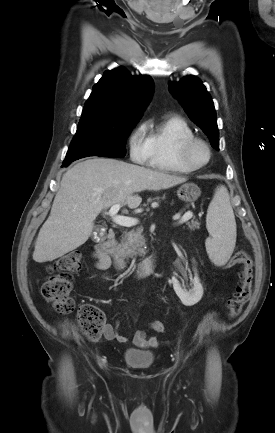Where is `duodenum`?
I'll list each match as a JSON object with an SVG mask.
<instances>
[{
    "mask_svg": "<svg viewBox=\"0 0 275 433\" xmlns=\"http://www.w3.org/2000/svg\"><path fill=\"white\" fill-rule=\"evenodd\" d=\"M115 231L109 229L106 234V239H97L96 251L103 257L107 258L112 263L118 272H124L127 269L126 263L121 256L116 252L114 247ZM158 267L157 257L152 256L139 262L134 267V272L139 277H144L153 273Z\"/></svg>",
    "mask_w": 275,
    "mask_h": 433,
    "instance_id": "obj_1",
    "label": "duodenum"
}]
</instances>
